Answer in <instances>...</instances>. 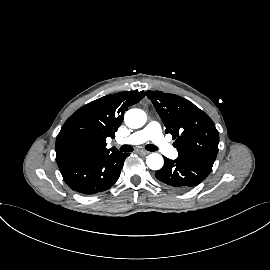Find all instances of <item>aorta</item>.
<instances>
[{
  "label": "aorta",
  "instance_id": "aorta-1",
  "mask_svg": "<svg viewBox=\"0 0 270 270\" xmlns=\"http://www.w3.org/2000/svg\"><path fill=\"white\" fill-rule=\"evenodd\" d=\"M146 120V113L143 110L137 108L128 110L124 116L125 124L132 129L141 128L146 123ZM163 163V157L157 153H152L146 158V164L152 170L161 169Z\"/></svg>",
  "mask_w": 270,
  "mask_h": 270
}]
</instances>
